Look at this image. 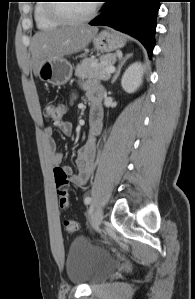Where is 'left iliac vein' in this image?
Here are the masks:
<instances>
[{
    "label": "left iliac vein",
    "mask_w": 195,
    "mask_h": 299,
    "mask_svg": "<svg viewBox=\"0 0 195 299\" xmlns=\"http://www.w3.org/2000/svg\"><path fill=\"white\" fill-rule=\"evenodd\" d=\"M103 212L101 208H97L91 218V225L94 229H98L102 223Z\"/></svg>",
    "instance_id": "4c4485c4"
}]
</instances>
